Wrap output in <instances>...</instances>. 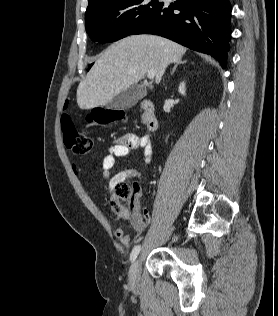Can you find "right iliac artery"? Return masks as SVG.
I'll return each instance as SVG.
<instances>
[{
	"label": "right iliac artery",
	"instance_id": "1",
	"mask_svg": "<svg viewBox=\"0 0 278 316\" xmlns=\"http://www.w3.org/2000/svg\"><path fill=\"white\" fill-rule=\"evenodd\" d=\"M141 246L137 245L133 248L131 254H130V260L134 261L138 255V253L140 252Z\"/></svg>",
	"mask_w": 278,
	"mask_h": 316
}]
</instances>
